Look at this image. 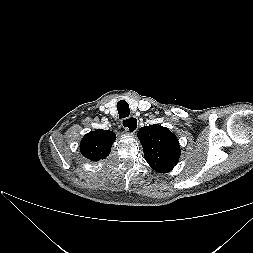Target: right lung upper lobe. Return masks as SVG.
<instances>
[{
  "label": "right lung upper lobe",
  "instance_id": "obj_1",
  "mask_svg": "<svg viewBox=\"0 0 253 253\" xmlns=\"http://www.w3.org/2000/svg\"><path fill=\"white\" fill-rule=\"evenodd\" d=\"M115 138L116 135L109 130L91 131L81 140V153L91 161L105 159L110 154Z\"/></svg>",
  "mask_w": 253,
  "mask_h": 253
}]
</instances>
